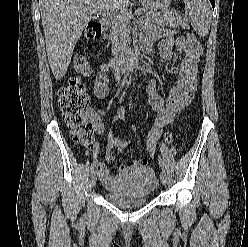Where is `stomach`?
<instances>
[{"label": "stomach", "mask_w": 248, "mask_h": 247, "mask_svg": "<svg viewBox=\"0 0 248 247\" xmlns=\"http://www.w3.org/2000/svg\"><path fill=\"white\" fill-rule=\"evenodd\" d=\"M141 2L149 9V10H157L166 8L171 0H141Z\"/></svg>", "instance_id": "obj_1"}]
</instances>
